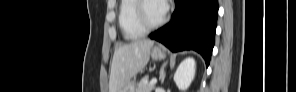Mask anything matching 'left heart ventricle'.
Instances as JSON below:
<instances>
[{
	"label": "left heart ventricle",
	"mask_w": 296,
	"mask_h": 92,
	"mask_svg": "<svg viewBox=\"0 0 296 92\" xmlns=\"http://www.w3.org/2000/svg\"><path fill=\"white\" fill-rule=\"evenodd\" d=\"M163 13L161 12L160 5L156 1H149L145 6V16L149 23H156L162 17Z\"/></svg>",
	"instance_id": "1"
}]
</instances>
